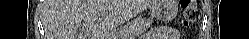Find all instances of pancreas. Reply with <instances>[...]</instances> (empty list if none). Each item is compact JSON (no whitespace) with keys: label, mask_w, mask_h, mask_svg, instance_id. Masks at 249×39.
Wrapping results in <instances>:
<instances>
[{"label":"pancreas","mask_w":249,"mask_h":39,"mask_svg":"<svg viewBox=\"0 0 249 39\" xmlns=\"http://www.w3.org/2000/svg\"><path fill=\"white\" fill-rule=\"evenodd\" d=\"M153 23L149 18H135L121 30V38L132 39L135 36L143 34Z\"/></svg>","instance_id":"1"}]
</instances>
